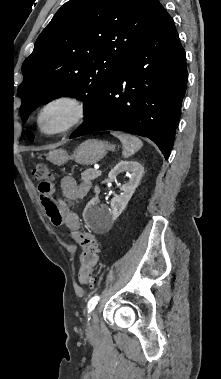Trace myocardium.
Wrapping results in <instances>:
<instances>
[{
	"mask_svg": "<svg viewBox=\"0 0 221 379\" xmlns=\"http://www.w3.org/2000/svg\"><path fill=\"white\" fill-rule=\"evenodd\" d=\"M54 110L63 113L61 122L54 126L46 125V117ZM87 115L85 101L74 94H59L45 100L35 114V126L37 131L46 137L65 133L79 125Z\"/></svg>",
	"mask_w": 221,
	"mask_h": 379,
	"instance_id": "f54148a6",
	"label": "myocardium"
}]
</instances>
